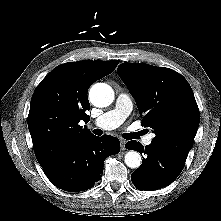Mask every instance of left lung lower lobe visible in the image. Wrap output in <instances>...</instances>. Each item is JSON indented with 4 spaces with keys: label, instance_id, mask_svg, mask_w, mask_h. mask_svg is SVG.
Listing matches in <instances>:
<instances>
[{
    "label": "left lung lower lobe",
    "instance_id": "1",
    "mask_svg": "<svg viewBox=\"0 0 221 221\" xmlns=\"http://www.w3.org/2000/svg\"><path fill=\"white\" fill-rule=\"evenodd\" d=\"M125 147L146 155L141 166L131 175L132 182L138 190L152 191L170 185L185 165L186 159L153 142L143 147L141 143L133 140L127 142Z\"/></svg>",
    "mask_w": 221,
    "mask_h": 221
}]
</instances>
